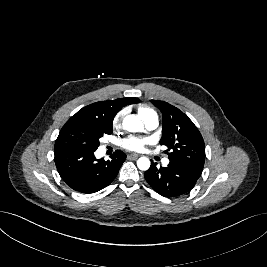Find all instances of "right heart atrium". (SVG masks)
I'll list each match as a JSON object with an SVG mask.
<instances>
[{"mask_svg": "<svg viewBox=\"0 0 267 267\" xmlns=\"http://www.w3.org/2000/svg\"><path fill=\"white\" fill-rule=\"evenodd\" d=\"M125 113H126L125 110H121L114 116L112 122L114 128L120 127L123 117L125 116Z\"/></svg>", "mask_w": 267, "mask_h": 267, "instance_id": "obj_1", "label": "right heart atrium"}]
</instances>
